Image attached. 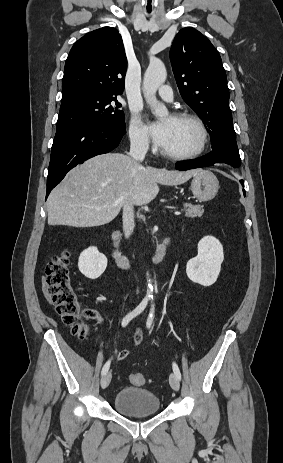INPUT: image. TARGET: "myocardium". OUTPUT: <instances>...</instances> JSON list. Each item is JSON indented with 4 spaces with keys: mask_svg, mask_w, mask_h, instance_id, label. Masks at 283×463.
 I'll list each match as a JSON object with an SVG mask.
<instances>
[{
    "mask_svg": "<svg viewBox=\"0 0 283 463\" xmlns=\"http://www.w3.org/2000/svg\"><path fill=\"white\" fill-rule=\"evenodd\" d=\"M171 118L174 120H185V121L192 122L199 131V135H200L199 144L195 150L188 152V153L173 154V153H169L161 149L160 154L168 159L176 160V161L191 160V159H195L199 157L204 152L207 146V142H208V131H207L206 125L203 122V120L198 115L194 113H190V112L175 113L171 116Z\"/></svg>",
    "mask_w": 283,
    "mask_h": 463,
    "instance_id": "obj_1",
    "label": "myocardium"
}]
</instances>
